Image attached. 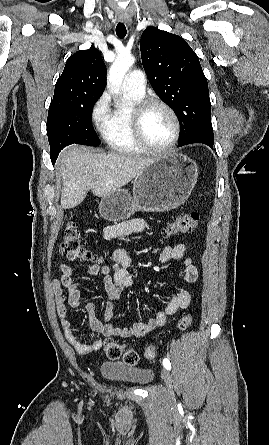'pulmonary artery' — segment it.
I'll list each match as a JSON object with an SVG mask.
<instances>
[{"label": "pulmonary artery", "instance_id": "obj_1", "mask_svg": "<svg viewBox=\"0 0 269 445\" xmlns=\"http://www.w3.org/2000/svg\"><path fill=\"white\" fill-rule=\"evenodd\" d=\"M123 88L138 96H143L145 93V76L140 70L130 72L124 79Z\"/></svg>", "mask_w": 269, "mask_h": 445}]
</instances>
